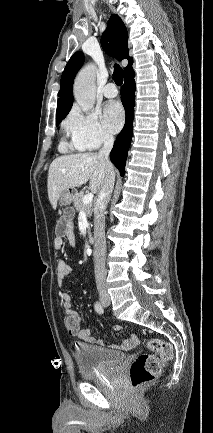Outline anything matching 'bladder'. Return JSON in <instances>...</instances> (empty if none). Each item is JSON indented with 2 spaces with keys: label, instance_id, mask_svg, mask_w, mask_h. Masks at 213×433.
<instances>
[{
  "label": "bladder",
  "instance_id": "bladder-1",
  "mask_svg": "<svg viewBox=\"0 0 213 433\" xmlns=\"http://www.w3.org/2000/svg\"><path fill=\"white\" fill-rule=\"evenodd\" d=\"M78 372L83 379H99L111 374L126 358L122 352L79 343L74 350Z\"/></svg>",
  "mask_w": 213,
  "mask_h": 433
}]
</instances>
